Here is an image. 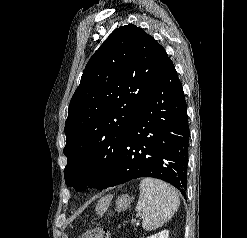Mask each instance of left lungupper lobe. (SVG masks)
Instances as JSON below:
<instances>
[{"instance_id":"5c2ea615","label":"left lung upper lobe","mask_w":247,"mask_h":238,"mask_svg":"<svg viewBox=\"0 0 247 238\" xmlns=\"http://www.w3.org/2000/svg\"><path fill=\"white\" fill-rule=\"evenodd\" d=\"M168 55L141 28L115 29L87 63L65 123L64 170L81 191L110 180L129 129L156 86Z\"/></svg>"}]
</instances>
